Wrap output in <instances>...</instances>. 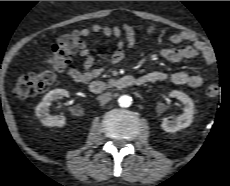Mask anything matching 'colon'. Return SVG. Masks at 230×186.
<instances>
[{
    "label": "colon",
    "mask_w": 230,
    "mask_h": 186,
    "mask_svg": "<svg viewBox=\"0 0 230 186\" xmlns=\"http://www.w3.org/2000/svg\"><path fill=\"white\" fill-rule=\"evenodd\" d=\"M83 47L84 42L80 32L61 36L52 46V57L49 61L51 67L19 76L14 88L16 96L26 99L45 92L54 81V70L63 69L70 62L72 56ZM219 92L220 87L217 83H210L205 91L210 98L216 97Z\"/></svg>",
    "instance_id": "1"
}]
</instances>
